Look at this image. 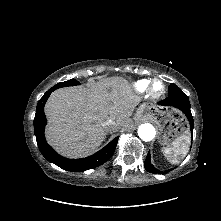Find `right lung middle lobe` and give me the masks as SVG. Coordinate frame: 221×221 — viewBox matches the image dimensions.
<instances>
[{
	"label": "right lung middle lobe",
	"mask_w": 221,
	"mask_h": 221,
	"mask_svg": "<svg viewBox=\"0 0 221 221\" xmlns=\"http://www.w3.org/2000/svg\"><path fill=\"white\" fill-rule=\"evenodd\" d=\"M80 83L75 80V79H71L65 82H61L58 83L57 85L53 86L51 89L56 90L57 88H61V87H65V86H75V85H79Z\"/></svg>",
	"instance_id": "right-lung-middle-lobe-1"
}]
</instances>
